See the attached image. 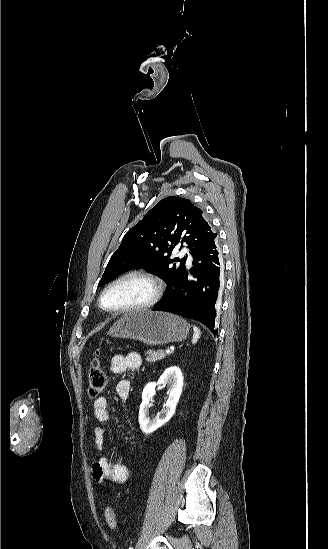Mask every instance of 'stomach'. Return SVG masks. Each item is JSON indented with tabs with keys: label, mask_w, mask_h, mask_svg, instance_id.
I'll return each instance as SVG.
<instances>
[{
	"label": "stomach",
	"mask_w": 328,
	"mask_h": 549,
	"mask_svg": "<svg viewBox=\"0 0 328 549\" xmlns=\"http://www.w3.org/2000/svg\"><path fill=\"white\" fill-rule=\"evenodd\" d=\"M189 325L173 313L164 311H131L113 323L108 331L110 337L136 339L145 345H165L184 341L189 333Z\"/></svg>",
	"instance_id": "0dacf381"
}]
</instances>
